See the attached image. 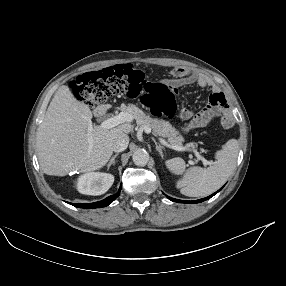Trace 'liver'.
Returning <instances> with one entry per match:
<instances>
[{
	"mask_svg": "<svg viewBox=\"0 0 286 286\" xmlns=\"http://www.w3.org/2000/svg\"><path fill=\"white\" fill-rule=\"evenodd\" d=\"M91 119L89 107L68 86L56 91L37 132L38 160L45 174L65 176L102 168L113 153L115 139L132 130L130 122L103 129L93 126Z\"/></svg>",
	"mask_w": 286,
	"mask_h": 286,
	"instance_id": "6515ba94",
	"label": "liver"
}]
</instances>
